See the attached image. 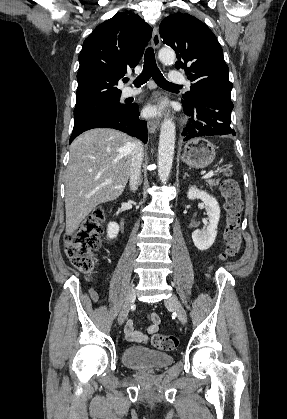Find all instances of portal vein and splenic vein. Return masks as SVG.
Masks as SVG:
<instances>
[{
  "mask_svg": "<svg viewBox=\"0 0 287 419\" xmlns=\"http://www.w3.org/2000/svg\"><path fill=\"white\" fill-rule=\"evenodd\" d=\"M212 176H213V172L210 171L207 174H205L202 178L203 179H208V178H211ZM107 182H111V180H107Z\"/></svg>",
  "mask_w": 287,
  "mask_h": 419,
  "instance_id": "18ae733b",
  "label": "portal vein and splenic vein"
}]
</instances>
